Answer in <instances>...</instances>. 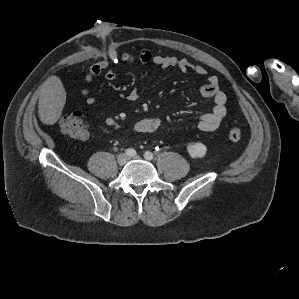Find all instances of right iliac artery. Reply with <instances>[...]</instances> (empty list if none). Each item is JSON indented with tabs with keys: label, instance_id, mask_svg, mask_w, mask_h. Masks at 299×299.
<instances>
[{
	"label": "right iliac artery",
	"instance_id": "right-iliac-artery-1",
	"mask_svg": "<svg viewBox=\"0 0 299 299\" xmlns=\"http://www.w3.org/2000/svg\"><path fill=\"white\" fill-rule=\"evenodd\" d=\"M126 155L130 156V157H133V156H136L137 152L132 149V148H128L126 151H125Z\"/></svg>",
	"mask_w": 299,
	"mask_h": 299
}]
</instances>
